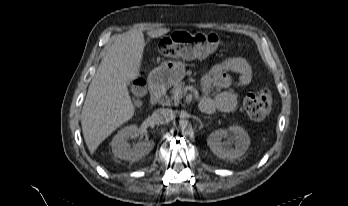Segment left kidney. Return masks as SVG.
<instances>
[{
	"label": "left kidney",
	"mask_w": 348,
	"mask_h": 206,
	"mask_svg": "<svg viewBox=\"0 0 348 206\" xmlns=\"http://www.w3.org/2000/svg\"><path fill=\"white\" fill-rule=\"evenodd\" d=\"M226 138L227 141L222 142V139ZM207 145L219 158L236 159L248 150L250 138L241 126L233 125L228 130L212 132L207 138Z\"/></svg>",
	"instance_id": "1"
}]
</instances>
